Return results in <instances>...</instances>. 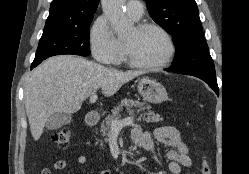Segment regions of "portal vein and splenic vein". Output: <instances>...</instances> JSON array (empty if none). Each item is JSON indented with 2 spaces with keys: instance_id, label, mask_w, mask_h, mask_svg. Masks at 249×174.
<instances>
[{
  "instance_id": "portal-vein-and-splenic-vein-1",
  "label": "portal vein and splenic vein",
  "mask_w": 249,
  "mask_h": 174,
  "mask_svg": "<svg viewBox=\"0 0 249 174\" xmlns=\"http://www.w3.org/2000/svg\"><path fill=\"white\" fill-rule=\"evenodd\" d=\"M96 100H97V95L94 93L90 97V103H94ZM133 122H134L133 117H127L122 120L114 119L111 121L110 127H111V130L119 131L122 129V127L130 125Z\"/></svg>"
}]
</instances>
